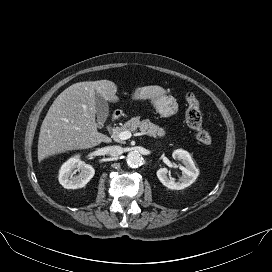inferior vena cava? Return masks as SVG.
I'll use <instances>...</instances> for the list:
<instances>
[{"label":"inferior vena cava","instance_id":"1","mask_svg":"<svg viewBox=\"0 0 272 272\" xmlns=\"http://www.w3.org/2000/svg\"><path fill=\"white\" fill-rule=\"evenodd\" d=\"M108 155L112 157L119 156L122 153L121 147L119 146H108L107 147Z\"/></svg>","mask_w":272,"mask_h":272}]
</instances>
